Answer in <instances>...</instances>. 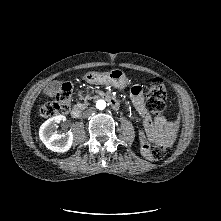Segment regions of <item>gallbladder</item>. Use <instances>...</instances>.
Wrapping results in <instances>:
<instances>
[{
    "instance_id": "bac80fb5",
    "label": "gallbladder",
    "mask_w": 221,
    "mask_h": 221,
    "mask_svg": "<svg viewBox=\"0 0 221 221\" xmlns=\"http://www.w3.org/2000/svg\"><path fill=\"white\" fill-rule=\"evenodd\" d=\"M61 85H62V82H60V81H55V82H53V83H51V84L49 85V88H51L52 90L57 91V90H59V89L61 88Z\"/></svg>"
}]
</instances>
